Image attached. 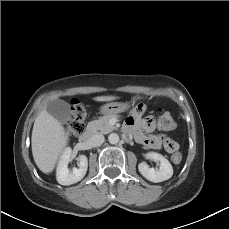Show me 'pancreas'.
I'll return each mask as SVG.
<instances>
[{
  "mask_svg": "<svg viewBox=\"0 0 229 229\" xmlns=\"http://www.w3.org/2000/svg\"><path fill=\"white\" fill-rule=\"evenodd\" d=\"M116 117H118V116L114 115V114L102 116L97 120L91 121L88 124V128L92 132L100 131L103 134H107V133L113 131L114 129H116V127L114 125H111L109 123V120L111 118H116Z\"/></svg>",
  "mask_w": 229,
  "mask_h": 229,
  "instance_id": "cf45deb5",
  "label": "pancreas"
}]
</instances>
